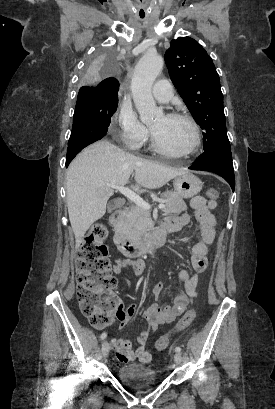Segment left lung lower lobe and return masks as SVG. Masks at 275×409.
<instances>
[{
    "mask_svg": "<svg viewBox=\"0 0 275 409\" xmlns=\"http://www.w3.org/2000/svg\"><path fill=\"white\" fill-rule=\"evenodd\" d=\"M189 169L216 173L223 177L234 191L235 177L230 145H220L202 153Z\"/></svg>",
    "mask_w": 275,
    "mask_h": 409,
    "instance_id": "obj_1",
    "label": "left lung lower lobe"
}]
</instances>
